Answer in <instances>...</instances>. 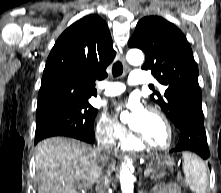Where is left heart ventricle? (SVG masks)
<instances>
[{
  "instance_id": "left-heart-ventricle-1",
  "label": "left heart ventricle",
  "mask_w": 221,
  "mask_h": 193,
  "mask_svg": "<svg viewBox=\"0 0 221 193\" xmlns=\"http://www.w3.org/2000/svg\"><path fill=\"white\" fill-rule=\"evenodd\" d=\"M132 127L154 145L163 146L168 141V132L164 122L151 111L147 110L142 119L132 124Z\"/></svg>"
}]
</instances>
